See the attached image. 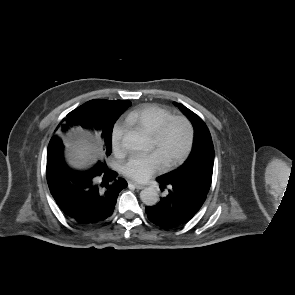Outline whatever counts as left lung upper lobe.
Segmentation results:
<instances>
[{
	"instance_id": "1",
	"label": "left lung upper lobe",
	"mask_w": 295,
	"mask_h": 295,
	"mask_svg": "<svg viewBox=\"0 0 295 295\" xmlns=\"http://www.w3.org/2000/svg\"><path fill=\"white\" fill-rule=\"evenodd\" d=\"M176 105L189 118L194 127L193 149L187 160L180 167L158 178L181 181L187 184L204 181L211 185L214 147L210 132L198 115L180 103H176Z\"/></svg>"
}]
</instances>
